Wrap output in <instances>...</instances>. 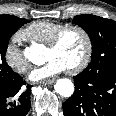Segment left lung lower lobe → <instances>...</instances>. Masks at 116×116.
I'll list each match as a JSON object with an SVG mask.
<instances>
[{
    "label": "left lung lower lobe",
    "mask_w": 116,
    "mask_h": 116,
    "mask_svg": "<svg viewBox=\"0 0 116 116\" xmlns=\"http://www.w3.org/2000/svg\"><path fill=\"white\" fill-rule=\"evenodd\" d=\"M75 91L63 103L66 116H116V72L74 77Z\"/></svg>",
    "instance_id": "1"
}]
</instances>
